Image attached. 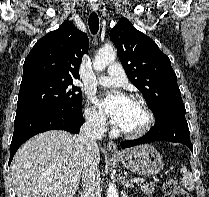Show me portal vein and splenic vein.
Segmentation results:
<instances>
[{"mask_svg":"<svg viewBox=\"0 0 209 197\" xmlns=\"http://www.w3.org/2000/svg\"><path fill=\"white\" fill-rule=\"evenodd\" d=\"M145 180L144 179H142V178H133V179H131V182L132 183H138V182H144Z\"/></svg>","mask_w":209,"mask_h":197,"instance_id":"portal-vein-and-splenic-vein-1","label":"portal vein and splenic vein"}]
</instances>
